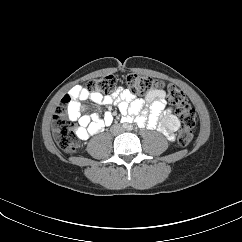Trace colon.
<instances>
[{"mask_svg": "<svg viewBox=\"0 0 242 242\" xmlns=\"http://www.w3.org/2000/svg\"><path fill=\"white\" fill-rule=\"evenodd\" d=\"M126 83L131 92L137 95L148 94L154 89L165 87V83L151 77L139 74H129ZM118 79L114 75H105L87 82L85 89L89 92L108 95L116 90ZM167 96L170 104L179 115L183 127L178 133V144L185 147L190 144L193 138V128L196 124V111L189 103L184 92L174 85H167ZM72 100L70 94H66L61 99V104L57 107L53 116V136L58 146L66 153H74L79 147L75 125L76 121L70 119L65 110V104Z\"/></svg>", "mask_w": 242, "mask_h": 242, "instance_id": "1", "label": "colon"}]
</instances>
